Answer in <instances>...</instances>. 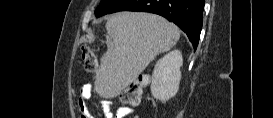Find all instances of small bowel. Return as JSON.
<instances>
[{
	"label": "small bowel",
	"mask_w": 273,
	"mask_h": 118,
	"mask_svg": "<svg viewBox=\"0 0 273 118\" xmlns=\"http://www.w3.org/2000/svg\"><path fill=\"white\" fill-rule=\"evenodd\" d=\"M91 94V85L86 84L81 87L78 99V108L81 118H89L87 100L90 98ZM102 110L106 118H124L132 112L128 107H119L115 112H113L111 110V101L108 99L103 101Z\"/></svg>",
	"instance_id": "c3829d8e"
}]
</instances>
